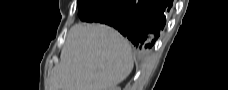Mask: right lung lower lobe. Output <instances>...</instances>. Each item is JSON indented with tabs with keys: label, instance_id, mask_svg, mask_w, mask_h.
<instances>
[{
	"label": "right lung lower lobe",
	"instance_id": "obj_1",
	"mask_svg": "<svg viewBox=\"0 0 228 90\" xmlns=\"http://www.w3.org/2000/svg\"><path fill=\"white\" fill-rule=\"evenodd\" d=\"M172 0H97L87 5L80 18L117 29L127 37L141 57L152 49L165 26Z\"/></svg>",
	"mask_w": 228,
	"mask_h": 90
}]
</instances>
